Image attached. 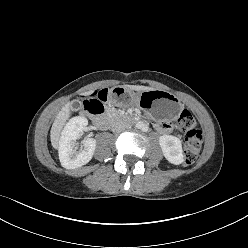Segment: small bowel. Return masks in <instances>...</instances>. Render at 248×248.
<instances>
[{"label": "small bowel", "mask_w": 248, "mask_h": 248, "mask_svg": "<svg viewBox=\"0 0 248 248\" xmlns=\"http://www.w3.org/2000/svg\"><path fill=\"white\" fill-rule=\"evenodd\" d=\"M157 130L163 134H167L172 131V125L169 122H160L157 124Z\"/></svg>", "instance_id": "1"}]
</instances>
